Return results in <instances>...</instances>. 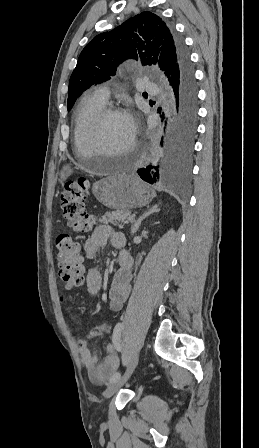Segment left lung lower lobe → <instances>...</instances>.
Listing matches in <instances>:
<instances>
[{
    "label": "left lung lower lobe",
    "mask_w": 259,
    "mask_h": 448,
    "mask_svg": "<svg viewBox=\"0 0 259 448\" xmlns=\"http://www.w3.org/2000/svg\"><path fill=\"white\" fill-rule=\"evenodd\" d=\"M176 39L181 48L180 56L165 71L175 95V109L167 143L153 165L137 170L144 181L172 191L181 190L188 183L198 116L194 72L182 39Z\"/></svg>",
    "instance_id": "0a47b994"
}]
</instances>
